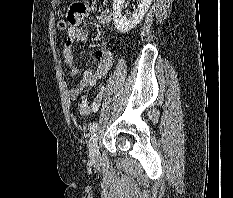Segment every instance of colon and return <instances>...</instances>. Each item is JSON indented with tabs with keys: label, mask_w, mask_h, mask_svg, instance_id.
<instances>
[{
	"label": "colon",
	"mask_w": 233,
	"mask_h": 198,
	"mask_svg": "<svg viewBox=\"0 0 233 198\" xmlns=\"http://www.w3.org/2000/svg\"><path fill=\"white\" fill-rule=\"evenodd\" d=\"M57 28L59 30H65L67 28V21L64 19H60L57 22ZM98 106V100L94 103H90L86 98H82L78 105V110L81 115H88L91 110Z\"/></svg>",
	"instance_id": "1"
}]
</instances>
